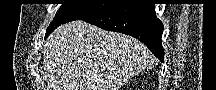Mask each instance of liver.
<instances>
[{"instance_id": "6515ba94", "label": "liver", "mask_w": 216, "mask_h": 90, "mask_svg": "<svg viewBox=\"0 0 216 90\" xmlns=\"http://www.w3.org/2000/svg\"><path fill=\"white\" fill-rule=\"evenodd\" d=\"M43 56L44 78L51 90H120L152 60L139 40L82 20L57 28Z\"/></svg>"}]
</instances>
